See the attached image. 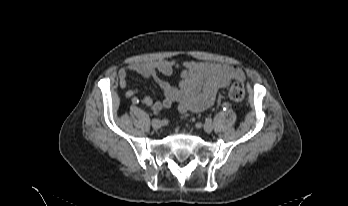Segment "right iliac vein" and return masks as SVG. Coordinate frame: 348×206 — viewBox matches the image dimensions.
Returning <instances> with one entry per match:
<instances>
[{
    "instance_id": "63e3f726",
    "label": "right iliac vein",
    "mask_w": 348,
    "mask_h": 206,
    "mask_svg": "<svg viewBox=\"0 0 348 206\" xmlns=\"http://www.w3.org/2000/svg\"><path fill=\"white\" fill-rule=\"evenodd\" d=\"M151 124L154 129H159L162 126V122L158 119H153Z\"/></svg>"
}]
</instances>
